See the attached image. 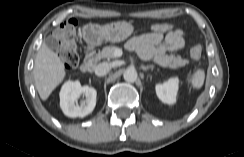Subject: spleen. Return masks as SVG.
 Here are the masks:
<instances>
[{"mask_svg":"<svg viewBox=\"0 0 244 157\" xmlns=\"http://www.w3.org/2000/svg\"><path fill=\"white\" fill-rule=\"evenodd\" d=\"M205 80V72L202 68H197L188 78V84L195 90L200 89Z\"/></svg>","mask_w":244,"mask_h":157,"instance_id":"spleen-1","label":"spleen"}]
</instances>
